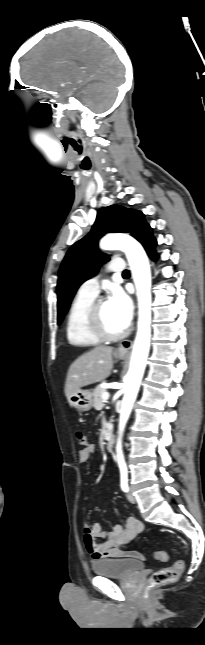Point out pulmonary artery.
Listing matches in <instances>:
<instances>
[{"label":"pulmonary artery","mask_w":205,"mask_h":645,"mask_svg":"<svg viewBox=\"0 0 205 645\" xmlns=\"http://www.w3.org/2000/svg\"><path fill=\"white\" fill-rule=\"evenodd\" d=\"M108 268L112 272H123L125 270V263L120 258H115L110 261ZM80 292L96 296L99 292V278L93 277L86 280L79 289Z\"/></svg>","instance_id":"1"}]
</instances>
